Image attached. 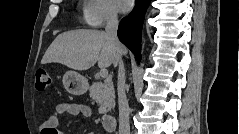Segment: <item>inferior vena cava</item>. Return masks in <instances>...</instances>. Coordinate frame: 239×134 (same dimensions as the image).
I'll list each match as a JSON object with an SVG mask.
<instances>
[{
    "label": "inferior vena cava",
    "instance_id": "inferior-vena-cava-1",
    "mask_svg": "<svg viewBox=\"0 0 239 134\" xmlns=\"http://www.w3.org/2000/svg\"><path fill=\"white\" fill-rule=\"evenodd\" d=\"M117 28H118V18L117 12L111 10L107 17L106 24V34L109 36L110 40L116 47L120 46V42L117 38ZM118 105H119V134H130V125H129V105L125 93V69L124 64L121 58L118 62Z\"/></svg>",
    "mask_w": 239,
    "mask_h": 134
}]
</instances>
